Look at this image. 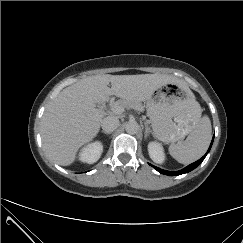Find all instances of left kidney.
Wrapping results in <instances>:
<instances>
[{"mask_svg": "<svg viewBox=\"0 0 243 243\" xmlns=\"http://www.w3.org/2000/svg\"><path fill=\"white\" fill-rule=\"evenodd\" d=\"M148 152L153 162L162 164L165 161V154L161 144L157 142H150L148 144Z\"/></svg>", "mask_w": 243, "mask_h": 243, "instance_id": "obj_1", "label": "left kidney"}]
</instances>
